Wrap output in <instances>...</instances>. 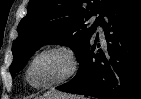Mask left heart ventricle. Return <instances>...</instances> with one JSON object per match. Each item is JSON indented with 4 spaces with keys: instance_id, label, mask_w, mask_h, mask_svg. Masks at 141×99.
Listing matches in <instances>:
<instances>
[{
    "instance_id": "1",
    "label": "left heart ventricle",
    "mask_w": 141,
    "mask_h": 99,
    "mask_svg": "<svg viewBox=\"0 0 141 99\" xmlns=\"http://www.w3.org/2000/svg\"><path fill=\"white\" fill-rule=\"evenodd\" d=\"M70 69L68 57L61 52H50L39 57L30 71L35 85H44L65 76Z\"/></svg>"
}]
</instances>
